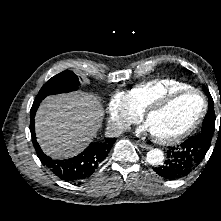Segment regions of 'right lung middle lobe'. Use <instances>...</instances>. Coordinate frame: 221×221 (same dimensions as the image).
I'll return each instance as SVG.
<instances>
[{"instance_id":"right-lung-middle-lobe-1","label":"right lung middle lobe","mask_w":221,"mask_h":221,"mask_svg":"<svg viewBox=\"0 0 221 221\" xmlns=\"http://www.w3.org/2000/svg\"><path fill=\"white\" fill-rule=\"evenodd\" d=\"M79 85L77 75L70 70H65L49 79L40 89L36 99H44L47 95L75 91Z\"/></svg>"}]
</instances>
